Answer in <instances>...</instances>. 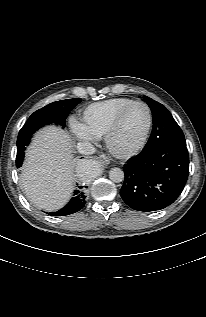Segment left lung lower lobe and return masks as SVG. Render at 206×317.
I'll return each mask as SVG.
<instances>
[{"instance_id":"left-lung-lower-lobe-1","label":"left lung lower lobe","mask_w":206,"mask_h":317,"mask_svg":"<svg viewBox=\"0 0 206 317\" xmlns=\"http://www.w3.org/2000/svg\"><path fill=\"white\" fill-rule=\"evenodd\" d=\"M123 171V201L138 211L160 210L172 204L186 184L188 150L186 145L176 143L146 148L130 158Z\"/></svg>"}]
</instances>
